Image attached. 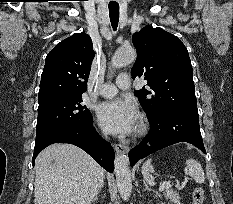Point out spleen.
I'll return each mask as SVG.
<instances>
[{
	"mask_svg": "<svg viewBox=\"0 0 233 204\" xmlns=\"http://www.w3.org/2000/svg\"><path fill=\"white\" fill-rule=\"evenodd\" d=\"M151 166V159L145 161L142 166V174L149 185H155L154 178L149 174ZM185 173L191 176L196 183L202 184L205 181L204 171L198 161L195 159H188L186 161Z\"/></svg>",
	"mask_w": 233,
	"mask_h": 204,
	"instance_id": "spleen-1",
	"label": "spleen"
}]
</instances>
